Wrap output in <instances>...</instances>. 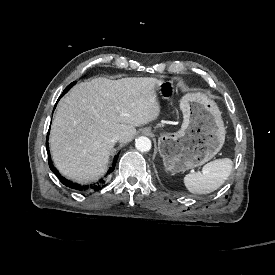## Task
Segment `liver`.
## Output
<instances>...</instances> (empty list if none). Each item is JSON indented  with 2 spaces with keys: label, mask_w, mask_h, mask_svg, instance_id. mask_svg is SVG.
Returning <instances> with one entry per match:
<instances>
[{
  "label": "liver",
  "mask_w": 275,
  "mask_h": 275,
  "mask_svg": "<svg viewBox=\"0 0 275 275\" xmlns=\"http://www.w3.org/2000/svg\"><path fill=\"white\" fill-rule=\"evenodd\" d=\"M159 81L150 77L118 80L96 78L75 85L57 106L51 126L50 151L59 172L86 184L108 169L111 136L122 132L131 141L135 127L155 120L160 105L154 96Z\"/></svg>",
  "instance_id": "liver-1"
}]
</instances>
